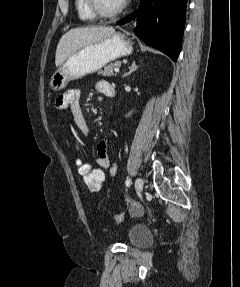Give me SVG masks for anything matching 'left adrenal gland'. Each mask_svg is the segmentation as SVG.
Returning a JSON list of instances; mask_svg holds the SVG:
<instances>
[{
  "label": "left adrenal gland",
  "mask_w": 240,
  "mask_h": 287,
  "mask_svg": "<svg viewBox=\"0 0 240 287\" xmlns=\"http://www.w3.org/2000/svg\"><path fill=\"white\" fill-rule=\"evenodd\" d=\"M138 68V66L136 65V61H133L131 66L129 67L128 72L124 73L123 77H126L128 75H130L133 71H135Z\"/></svg>",
  "instance_id": "1"
}]
</instances>
